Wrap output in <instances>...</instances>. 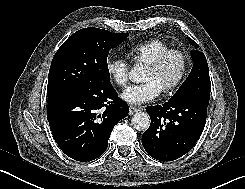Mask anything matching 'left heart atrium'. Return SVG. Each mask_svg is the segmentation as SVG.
<instances>
[{"label": "left heart atrium", "instance_id": "left-heart-atrium-1", "mask_svg": "<svg viewBox=\"0 0 245 189\" xmlns=\"http://www.w3.org/2000/svg\"><path fill=\"white\" fill-rule=\"evenodd\" d=\"M161 89L153 82L146 81L141 84H133L121 93V98L132 104H142L157 98Z\"/></svg>", "mask_w": 245, "mask_h": 189}]
</instances>
